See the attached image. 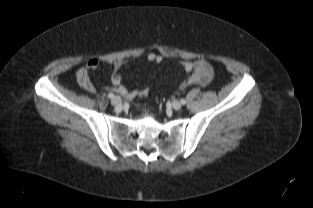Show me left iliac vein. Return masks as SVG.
I'll use <instances>...</instances> for the list:
<instances>
[{"mask_svg": "<svg viewBox=\"0 0 313 208\" xmlns=\"http://www.w3.org/2000/svg\"><path fill=\"white\" fill-rule=\"evenodd\" d=\"M181 106H182V104H181V102L178 101V100H175V101H173V103H172V107H173L174 110H180V109H181Z\"/></svg>", "mask_w": 313, "mask_h": 208, "instance_id": "4c4485c4", "label": "left iliac vein"}]
</instances>
